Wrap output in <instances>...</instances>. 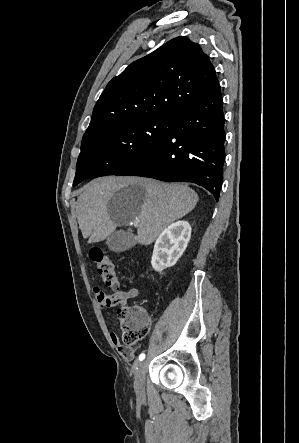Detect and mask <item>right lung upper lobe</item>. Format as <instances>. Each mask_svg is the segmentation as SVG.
Segmentation results:
<instances>
[{"label": "right lung upper lobe", "instance_id": "right-lung-upper-lobe-1", "mask_svg": "<svg viewBox=\"0 0 299 443\" xmlns=\"http://www.w3.org/2000/svg\"><path fill=\"white\" fill-rule=\"evenodd\" d=\"M217 84L215 69L200 46L187 37L174 38L108 83L83 138L127 121L170 116Z\"/></svg>", "mask_w": 299, "mask_h": 443}]
</instances>
